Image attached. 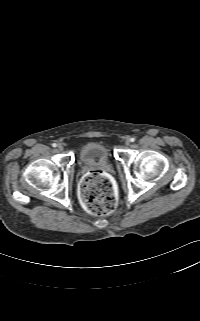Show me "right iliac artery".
<instances>
[{"instance_id": "82829eb1", "label": "right iliac artery", "mask_w": 200, "mask_h": 321, "mask_svg": "<svg viewBox=\"0 0 200 321\" xmlns=\"http://www.w3.org/2000/svg\"><path fill=\"white\" fill-rule=\"evenodd\" d=\"M56 146H57V144H56V143H53V144H52V147H56Z\"/></svg>"}]
</instances>
